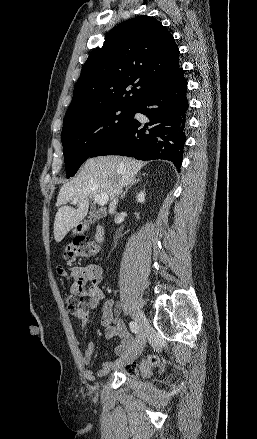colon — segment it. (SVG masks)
I'll return each mask as SVG.
<instances>
[{"label": "colon", "instance_id": "5ec220e1", "mask_svg": "<svg viewBox=\"0 0 257 439\" xmlns=\"http://www.w3.org/2000/svg\"><path fill=\"white\" fill-rule=\"evenodd\" d=\"M98 251L95 244L87 239H78L74 244L69 245L63 251V258L67 261H73L77 258H88ZM64 303L66 308L73 314L78 313L84 304V296L80 292H69L64 296ZM159 358L150 356L141 365L136 363H128L125 366V371L130 376H137L139 373L148 374L150 366L157 365Z\"/></svg>", "mask_w": 257, "mask_h": 439}]
</instances>
